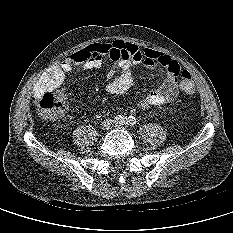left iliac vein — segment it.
<instances>
[{"instance_id":"left-iliac-vein-1","label":"left iliac vein","mask_w":233,"mask_h":233,"mask_svg":"<svg viewBox=\"0 0 233 233\" xmlns=\"http://www.w3.org/2000/svg\"><path fill=\"white\" fill-rule=\"evenodd\" d=\"M115 127H119V125L116 123V124H115Z\"/></svg>"}]
</instances>
